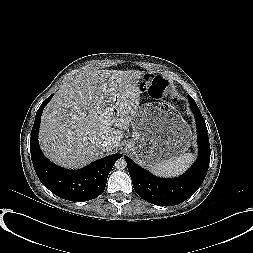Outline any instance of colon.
<instances>
[{"instance_id":"colon-1","label":"colon","mask_w":253,"mask_h":253,"mask_svg":"<svg viewBox=\"0 0 253 253\" xmlns=\"http://www.w3.org/2000/svg\"><path fill=\"white\" fill-rule=\"evenodd\" d=\"M139 84L143 92L149 91L150 96L157 101L165 100L169 103H174L180 97V92L175 86L169 84L165 78L156 77L153 80V76L150 73L142 75L139 78Z\"/></svg>"}]
</instances>
